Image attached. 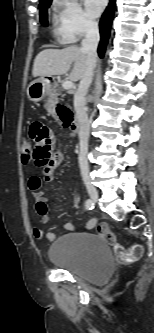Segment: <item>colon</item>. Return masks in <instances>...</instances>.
I'll return each instance as SVG.
<instances>
[{
  "label": "colon",
  "mask_w": 154,
  "mask_h": 333,
  "mask_svg": "<svg viewBox=\"0 0 154 333\" xmlns=\"http://www.w3.org/2000/svg\"><path fill=\"white\" fill-rule=\"evenodd\" d=\"M58 114L64 125L69 124L71 120V110L66 106H59ZM33 159L32 154V141L30 138L23 139L22 141V160L25 163ZM98 234L102 239L113 248L116 260L121 263H128L139 259L142 255V247L140 245H132L129 248L123 247L117 240L114 233L106 224H101L97 228Z\"/></svg>",
  "instance_id": "obj_1"
}]
</instances>
